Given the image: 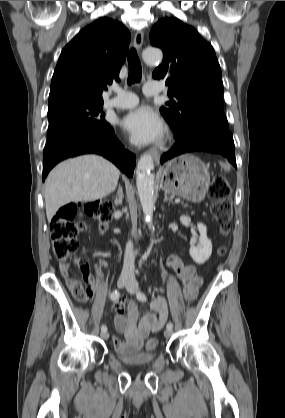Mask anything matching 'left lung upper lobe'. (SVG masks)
<instances>
[{"mask_svg":"<svg viewBox=\"0 0 285 418\" xmlns=\"http://www.w3.org/2000/svg\"><path fill=\"white\" fill-rule=\"evenodd\" d=\"M150 41L163 51V62L153 78L166 80L169 95L177 98L160 109L176 139L205 125L228 129L221 68L211 44L175 17L159 20L151 29Z\"/></svg>","mask_w":285,"mask_h":418,"instance_id":"left-lung-upper-lobe-1","label":"left lung upper lobe"}]
</instances>
